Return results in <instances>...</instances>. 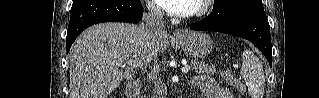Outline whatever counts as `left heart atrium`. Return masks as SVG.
I'll use <instances>...</instances> for the list:
<instances>
[{
	"instance_id": "1",
	"label": "left heart atrium",
	"mask_w": 319,
	"mask_h": 98,
	"mask_svg": "<svg viewBox=\"0 0 319 98\" xmlns=\"http://www.w3.org/2000/svg\"><path fill=\"white\" fill-rule=\"evenodd\" d=\"M160 5L174 15L187 14L192 11L194 0H159Z\"/></svg>"
}]
</instances>
